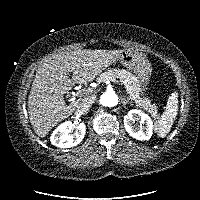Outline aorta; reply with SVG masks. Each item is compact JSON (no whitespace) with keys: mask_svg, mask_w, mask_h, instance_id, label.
<instances>
[{"mask_svg":"<svg viewBox=\"0 0 200 200\" xmlns=\"http://www.w3.org/2000/svg\"><path fill=\"white\" fill-rule=\"evenodd\" d=\"M100 104L104 107H114L118 104V96L114 91H107L101 95Z\"/></svg>","mask_w":200,"mask_h":200,"instance_id":"obj_1","label":"aorta"}]
</instances>
